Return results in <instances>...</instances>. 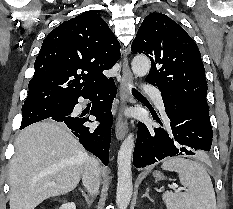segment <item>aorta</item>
Wrapping results in <instances>:
<instances>
[{"instance_id":"aorta-1","label":"aorta","mask_w":233,"mask_h":209,"mask_svg":"<svg viewBox=\"0 0 233 209\" xmlns=\"http://www.w3.org/2000/svg\"><path fill=\"white\" fill-rule=\"evenodd\" d=\"M150 60L145 55H137L133 58L131 68L135 76L143 77L149 73ZM134 149V135L129 134L122 142L117 158L118 183L116 204L118 209H126L132 196V172L131 160Z\"/></svg>"}]
</instances>
